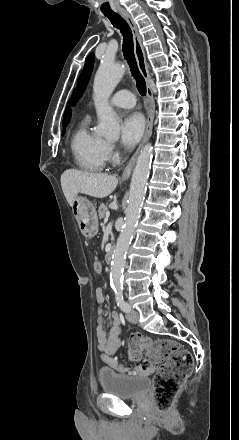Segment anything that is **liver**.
<instances>
[{
	"label": "liver",
	"mask_w": 239,
	"mask_h": 440,
	"mask_svg": "<svg viewBox=\"0 0 239 440\" xmlns=\"http://www.w3.org/2000/svg\"><path fill=\"white\" fill-rule=\"evenodd\" d=\"M118 184L115 176L109 174H91L80 170H66L61 176L63 194L69 204L73 206L78 194H87L93 198H106L114 192Z\"/></svg>",
	"instance_id": "1"
}]
</instances>
